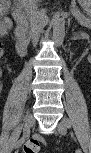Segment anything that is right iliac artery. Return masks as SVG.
<instances>
[{
  "mask_svg": "<svg viewBox=\"0 0 91 153\" xmlns=\"http://www.w3.org/2000/svg\"><path fill=\"white\" fill-rule=\"evenodd\" d=\"M27 137H28V135H23V137H21V138L16 142L15 147H16V148L20 147V146L23 144V142L25 141V139H26Z\"/></svg>",
  "mask_w": 91,
  "mask_h": 153,
  "instance_id": "1",
  "label": "right iliac artery"
}]
</instances>
